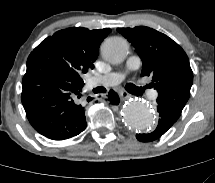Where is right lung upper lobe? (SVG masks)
Returning a JSON list of instances; mask_svg holds the SVG:
<instances>
[{"mask_svg": "<svg viewBox=\"0 0 215 183\" xmlns=\"http://www.w3.org/2000/svg\"><path fill=\"white\" fill-rule=\"evenodd\" d=\"M109 32V28L92 31L80 27L63 29L46 38L31 53H36L41 58L45 71L63 69L66 62L63 54L68 52L82 54L93 67L99 46Z\"/></svg>", "mask_w": 215, "mask_h": 183, "instance_id": "right-lung-upper-lobe-1", "label": "right lung upper lobe"}]
</instances>
